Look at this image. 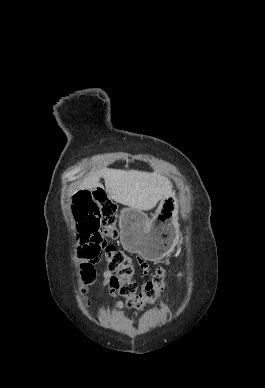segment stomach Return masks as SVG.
Wrapping results in <instances>:
<instances>
[{
	"instance_id": "1",
	"label": "stomach",
	"mask_w": 265,
	"mask_h": 388,
	"mask_svg": "<svg viewBox=\"0 0 265 388\" xmlns=\"http://www.w3.org/2000/svg\"><path fill=\"white\" fill-rule=\"evenodd\" d=\"M177 215L178 205L174 192L160 201L152 219L137 209L124 208L119 217L123 248L150 261L168 255L179 236Z\"/></svg>"
}]
</instances>
